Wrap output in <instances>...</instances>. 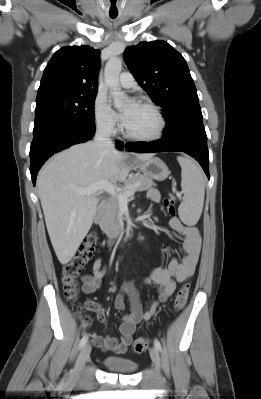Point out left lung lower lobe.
Listing matches in <instances>:
<instances>
[{"label": "left lung lower lobe", "mask_w": 261, "mask_h": 399, "mask_svg": "<svg viewBox=\"0 0 261 399\" xmlns=\"http://www.w3.org/2000/svg\"><path fill=\"white\" fill-rule=\"evenodd\" d=\"M125 148L127 151L138 153L162 151L185 152L199 162L210 179L207 135L203 123L188 125L179 132L163 136L162 139L156 141L127 143Z\"/></svg>", "instance_id": "obj_1"}]
</instances>
